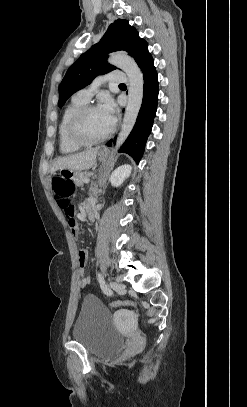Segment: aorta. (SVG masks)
Wrapping results in <instances>:
<instances>
[{"mask_svg": "<svg viewBox=\"0 0 247 407\" xmlns=\"http://www.w3.org/2000/svg\"><path fill=\"white\" fill-rule=\"evenodd\" d=\"M108 62L121 68L129 80L128 102L125 109L123 124L118 135L115 149L117 150L131 132L143 99V75L133 58L124 53L113 54L109 57ZM101 182V180H100Z\"/></svg>", "mask_w": 247, "mask_h": 407, "instance_id": "762f6f07", "label": "aorta"}]
</instances>
